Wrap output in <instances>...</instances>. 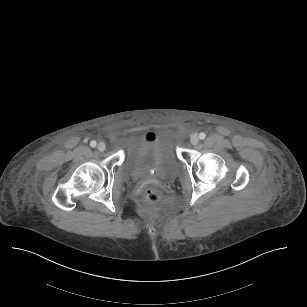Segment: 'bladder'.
I'll return each mask as SVG.
<instances>
[{
  "instance_id": "31cf9c89",
  "label": "bladder",
  "mask_w": 307,
  "mask_h": 307,
  "mask_svg": "<svg viewBox=\"0 0 307 307\" xmlns=\"http://www.w3.org/2000/svg\"><path fill=\"white\" fill-rule=\"evenodd\" d=\"M180 161L173 146L155 137L134 143L124 152L122 167L133 180H143L151 174L161 177L174 175Z\"/></svg>"
}]
</instances>
